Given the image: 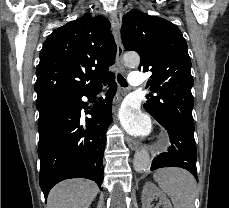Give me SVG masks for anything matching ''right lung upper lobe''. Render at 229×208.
<instances>
[{"label":"right lung upper lobe","instance_id":"right-lung-upper-lobe-1","mask_svg":"<svg viewBox=\"0 0 229 208\" xmlns=\"http://www.w3.org/2000/svg\"><path fill=\"white\" fill-rule=\"evenodd\" d=\"M107 19L86 14L51 33L36 70V103L76 99L99 88L112 73L116 44Z\"/></svg>","mask_w":229,"mask_h":208}]
</instances>
